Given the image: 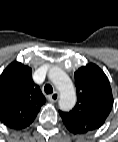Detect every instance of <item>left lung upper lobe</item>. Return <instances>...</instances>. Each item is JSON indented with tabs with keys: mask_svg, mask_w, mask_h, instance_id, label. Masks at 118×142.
<instances>
[{
	"mask_svg": "<svg viewBox=\"0 0 118 142\" xmlns=\"http://www.w3.org/2000/svg\"><path fill=\"white\" fill-rule=\"evenodd\" d=\"M77 103L70 112L59 111L64 125L75 134L101 127L108 117L113 96L109 80L95 64L90 63L75 73Z\"/></svg>",
	"mask_w": 118,
	"mask_h": 142,
	"instance_id": "left-lung-upper-lobe-1",
	"label": "left lung upper lobe"
}]
</instances>
